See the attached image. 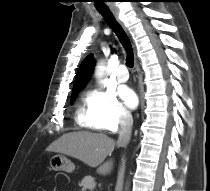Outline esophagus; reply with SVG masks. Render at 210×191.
<instances>
[{"label": "esophagus", "mask_w": 210, "mask_h": 191, "mask_svg": "<svg viewBox=\"0 0 210 191\" xmlns=\"http://www.w3.org/2000/svg\"><path fill=\"white\" fill-rule=\"evenodd\" d=\"M111 11L114 14L115 18L117 19V21L123 26V23L121 22L119 15H118V10L115 7H112Z\"/></svg>", "instance_id": "34e87169"}]
</instances>
